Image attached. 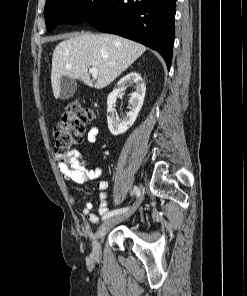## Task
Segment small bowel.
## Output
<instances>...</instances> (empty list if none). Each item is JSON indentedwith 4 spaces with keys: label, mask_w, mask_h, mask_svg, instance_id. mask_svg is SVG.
I'll return each mask as SVG.
<instances>
[{
    "label": "small bowel",
    "mask_w": 247,
    "mask_h": 296,
    "mask_svg": "<svg viewBox=\"0 0 247 296\" xmlns=\"http://www.w3.org/2000/svg\"><path fill=\"white\" fill-rule=\"evenodd\" d=\"M99 134V127L93 126L88 132V140L91 143L96 142ZM58 170L64 180H70L76 184H84L89 181L100 178L102 175V169L100 167L87 168L88 160L78 151L71 150L64 155H58ZM109 183L106 180H99L96 184L98 191L100 206L99 215L105 216L109 211L107 200V189ZM93 205L90 201H86L81 213L87 217L91 223H97L99 216L92 213Z\"/></svg>",
    "instance_id": "obj_1"
}]
</instances>
